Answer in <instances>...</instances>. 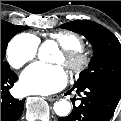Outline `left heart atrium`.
I'll list each match as a JSON object with an SVG mask.
<instances>
[{
  "label": "left heart atrium",
  "mask_w": 121,
  "mask_h": 121,
  "mask_svg": "<svg viewBox=\"0 0 121 121\" xmlns=\"http://www.w3.org/2000/svg\"><path fill=\"white\" fill-rule=\"evenodd\" d=\"M66 83L67 75L60 65L35 63L21 78V87L26 93L51 94L64 88Z\"/></svg>",
  "instance_id": "1"
}]
</instances>
